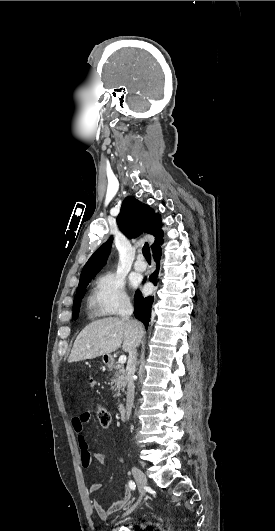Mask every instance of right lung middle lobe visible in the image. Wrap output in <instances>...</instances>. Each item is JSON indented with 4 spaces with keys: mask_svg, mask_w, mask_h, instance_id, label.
<instances>
[{
    "mask_svg": "<svg viewBox=\"0 0 275 531\" xmlns=\"http://www.w3.org/2000/svg\"><path fill=\"white\" fill-rule=\"evenodd\" d=\"M89 281L90 279L87 282H85L82 286H80V288H78L76 291V295H75L74 303H73V319L75 320L78 318L81 299L83 298L85 294V288L88 285Z\"/></svg>",
    "mask_w": 275,
    "mask_h": 531,
    "instance_id": "obj_1",
    "label": "right lung middle lobe"
}]
</instances>
